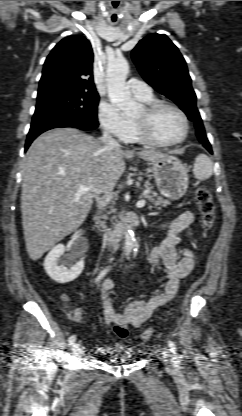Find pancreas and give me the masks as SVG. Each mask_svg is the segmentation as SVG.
Here are the masks:
<instances>
[{
  "label": "pancreas",
  "instance_id": "pancreas-1",
  "mask_svg": "<svg viewBox=\"0 0 242 416\" xmlns=\"http://www.w3.org/2000/svg\"><path fill=\"white\" fill-rule=\"evenodd\" d=\"M145 193L142 195L145 199H147L150 204L149 208L156 207L157 209H160V207H167L170 202L168 200L163 199L162 197L158 196V194L154 191H152V188L149 185H145ZM115 209H111L109 213H115ZM116 217L113 216L112 219H115ZM96 224L103 225V222L96 219Z\"/></svg>",
  "mask_w": 242,
  "mask_h": 416
}]
</instances>
